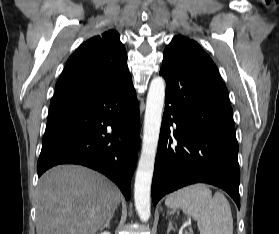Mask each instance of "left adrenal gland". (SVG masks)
I'll list each match as a JSON object with an SVG mask.
<instances>
[{
    "label": "left adrenal gland",
    "mask_w": 279,
    "mask_h": 234,
    "mask_svg": "<svg viewBox=\"0 0 279 234\" xmlns=\"http://www.w3.org/2000/svg\"><path fill=\"white\" fill-rule=\"evenodd\" d=\"M171 230H173V231H174L175 229H174V227H173L172 222H171V221H169L168 228H167V234H169V232H170Z\"/></svg>",
    "instance_id": "left-adrenal-gland-1"
}]
</instances>
